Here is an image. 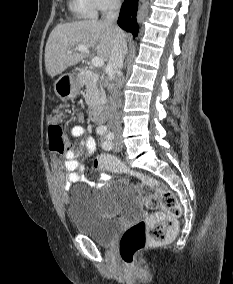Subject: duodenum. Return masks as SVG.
Here are the masks:
<instances>
[{"label": "duodenum", "instance_id": "duodenum-1", "mask_svg": "<svg viewBox=\"0 0 233 284\" xmlns=\"http://www.w3.org/2000/svg\"><path fill=\"white\" fill-rule=\"evenodd\" d=\"M90 119L96 123L97 125L102 126L104 122V115L102 111V107L98 104H94L89 109Z\"/></svg>", "mask_w": 233, "mask_h": 284}]
</instances>
